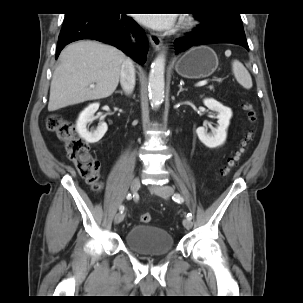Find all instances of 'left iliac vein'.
Here are the masks:
<instances>
[{
  "label": "left iliac vein",
  "instance_id": "4c4485c4",
  "mask_svg": "<svg viewBox=\"0 0 303 303\" xmlns=\"http://www.w3.org/2000/svg\"><path fill=\"white\" fill-rule=\"evenodd\" d=\"M150 190L159 195L160 197L164 199H168L170 195L174 193V189L171 186L168 185H162V186H153L150 188ZM192 220L190 218H185L183 220V226L186 229H190L192 227Z\"/></svg>",
  "mask_w": 303,
  "mask_h": 303
}]
</instances>
